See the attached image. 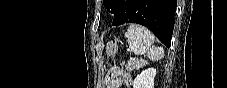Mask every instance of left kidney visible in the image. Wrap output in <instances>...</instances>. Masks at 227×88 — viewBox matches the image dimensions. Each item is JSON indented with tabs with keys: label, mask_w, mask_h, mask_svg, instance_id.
Segmentation results:
<instances>
[{
	"label": "left kidney",
	"mask_w": 227,
	"mask_h": 88,
	"mask_svg": "<svg viewBox=\"0 0 227 88\" xmlns=\"http://www.w3.org/2000/svg\"><path fill=\"white\" fill-rule=\"evenodd\" d=\"M156 69L148 68L143 70L133 81L134 88H154Z\"/></svg>",
	"instance_id": "left-kidney-1"
}]
</instances>
